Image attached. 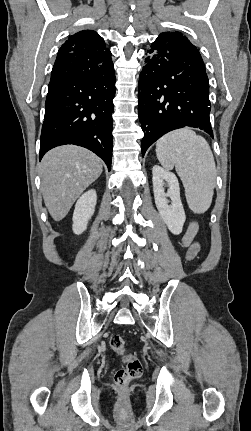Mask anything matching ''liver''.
I'll return each instance as SVG.
<instances>
[{"label": "liver", "mask_w": 251, "mask_h": 431, "mask_svg": "<svg viewBox=\"0 0 251 431\" xmlns=\"http://www.w3.org/2000/svg\"><path fill=\"white\" fill-rule=\"evenodd\" d=\"M102 161L91 151L66 145L47 152L40 164L41 191L55 221L62 220L77 198L102 173Z\"/></svg>", "instance_id": "obj_1"}]
</instances>
